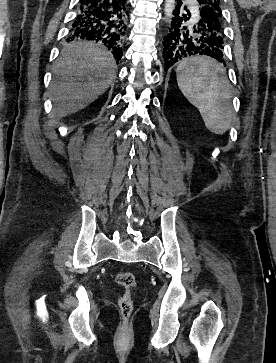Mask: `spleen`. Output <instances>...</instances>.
<instances>
[{
    "label": "spleen",
    "instance_id": "1",
    "mask_svg": "<svg viewBox=\"0 0 276 363\" xmlns=\"http://www.w3.org/2000/svg\"><path fill=\"white\" fill-rule=\"evenodd\" d=\"M176 75L181 92L199 110L206 128L224 134L230 127L232 105L223 65L210 57H190L179 63Z\"/></svg>",
    "mask_w": 276,
    "mask_h": 363
}]
</instances>
